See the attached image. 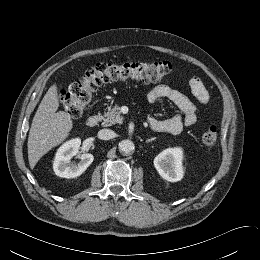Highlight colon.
Instances as JSON below:
<instances>
[{
  "mask_svg": "<svg viewBox=\"0 0 260 260\" xmlns=\"http://www.w3.org/2000/svg\"><path fill=\"white\" fill-rule=\"evenodd\" d=\"M167 61L100 63L86 70L82 78L69 89H61L60 102L72 118H79L90 104L97 89L110 81H136L140 83H157L171 71ZM218 138L215 125L207 127L201 136L205 145H214Z\"/></svg>",
  "mask_w": 260,
  "mask_h": 260,
  "instance_id": "obj_1",
  "label": "colon"
}]
</instances>
